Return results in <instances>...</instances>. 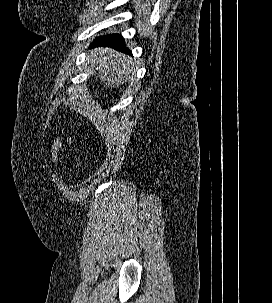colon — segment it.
Wrapping results in <instances>:
<instances>
[{"instance_id":"colon-1","label":"colon","mask_w":272,"mask_h":303,"mask_svg":"<svg viewBox=\"0 0 272 303\" xmlns=\"http://www.w3.org/2000/svg\"><path fill=\"white\" fill-rule=\"evenodd\" d=\"M51 160L53 163L57 161V143L54 142L51 148Z\"/></svg>"}]
</instances>
